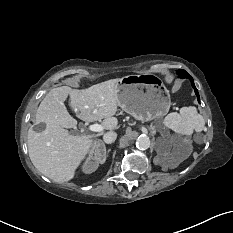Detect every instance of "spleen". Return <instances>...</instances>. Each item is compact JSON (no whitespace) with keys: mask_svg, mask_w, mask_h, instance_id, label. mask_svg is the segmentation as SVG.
Masks as SVG:
<instances>
[{"mask_svg":"<svg viewBox=\"0 0 233 233\" xmlns=\"http://www.w3.org/2000/svg\"><path fill=\"white\" fill-rule=\"evenodd\" d=\"M163 124L165 127L173 130L175 133L191 136L193 131L201 132L204 128V119L198 114L195 107H182L180 113L172 112L168 114ZM188 155L185 156V158Z\"/></svg>","mask_w":233,"mask_h":233,"instance_id":"spleen-1","label":"spleen"}]
</instances>
